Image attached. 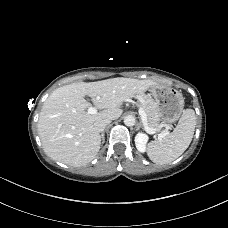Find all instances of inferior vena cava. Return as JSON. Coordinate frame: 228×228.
Wrapping results in <instances>:
<instances>
[{"instance_id":"1","label":"inferior vena cava","mask_w":228,"mask_h":228,"mask_svg":"<svg viewBox=\"0 0 228 228\" xmlns=\"http://www.w3.org/2000/svg\"><path fill=\"white\" fill-rule=\"evenodd\" d=\"M111 121V119L100 120L94 124V127L98 132H102Z\"/></svg>"}]
</instances>
